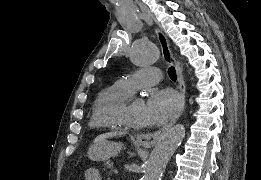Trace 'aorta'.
<instances>
[{"mask_svg":"<svg viewBox=\"0 0 261 180\" xmlns=\"http://www.w3.org/2000/svg\"><path fill=\"white\" fill-rule=\"evenodd\" d=\"M160 56L159 49L152 43L137 41L134 43L130 58L137 66L155 63ZM185 136L182 124L171 127L155 145L145 163L143 180H161L168 161L181 144Z\"/></svg>","mask_w":261,"mask_h":180,"instance_id":"762f6f07","label":"aorta"}]
</instances>
